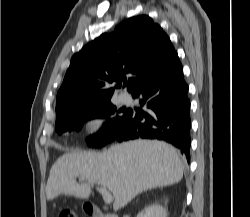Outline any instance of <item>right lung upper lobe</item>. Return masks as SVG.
Listing matches in <instances>:
<instances>
[{"label":"right lung upper lobe","mask_w":250,"mask_h":217,"mask_svg":"<svg viewBox=\"0 0 250 217\" xmlns=\"http://www.w3.org/2000/svg\"><path fill=\"white\" fill-rule=\"evenodd\" d=\"M177 56L169 37L146 15L120 23L113 32L88 43L71 58L57 93L56 120L63 116L109 101L116 82L127 90L137 89L157 76Z\"/></svg>","instance_id":"obj_1"}]
</instances>
